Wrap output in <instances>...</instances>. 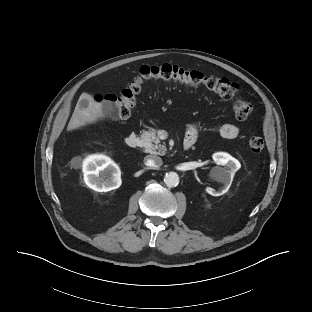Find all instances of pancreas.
Listing matches in <instances>:
<instances>
[{"instance_id": "1", "label": "pancreas", "mask_w": 312, "mask_h": 312, "mask_svg": "<svg viewBox=\"0 0 312 312\" xmlns=\"http://www.w3.org/2000/svg\"><path fill=\"white\" fill-rule=\"evenodd\" d=\"M141 141V145L144 147L145 152L150 154L165 155L167 150L166 146L160 144V139L158 138L155 129L152 128L149 131H144L141 134Z\"/></svg>"}]
</instances>
